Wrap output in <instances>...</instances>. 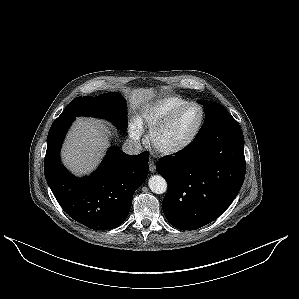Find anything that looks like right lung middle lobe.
Here are the masks:
<instances>
[{
	"mask_svg": "<svg viewBox=\"0 0 299 299\" xmlns=\"http://www.w3.org/2000/svg\"><path fill=\"white\" fill-rule=\"evenodd\" d=\"M60 116H92L114 122L121 131L127 128L125 100L118 93L97 97H78L72 100Z\"/></svg>",
	"mask_w": 299,
	"mask_h": 299,
	"instance_id": "1",
	"label": "right lung middle lobe"
}]
</instances>
